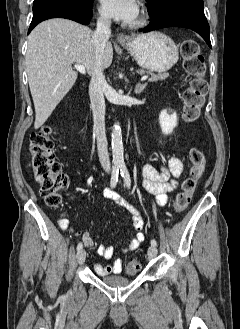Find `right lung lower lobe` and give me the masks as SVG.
I'll return each mask as SVG.
<instances>
[{"mask_svg": "<svg viewBox=\"0 0 240 329\" xmlns=\"http://www.w3.org/2000/svg\"><path fill=\"white\" fill-rule=\"evenodd\" d=\"M50 18H66L87 25L92 18V7L85 9L53 3L33 5V18L28 33L38 23Z\"/></svg>", "mask_w": 240, "mask_h": 329, "instance_id": "1", "label": "right lung lower lobe"}]
</instances>
